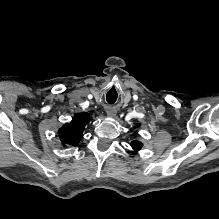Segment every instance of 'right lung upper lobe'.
<instances>
[{"mask_svg":"<svg viewBox=\"0 0 219 219\" xmlns=\"http://www.w3.org/2000/svg\"><path fill=\"white\" fill-rule=\"evenodd\" d=\"M89 119L88 113H78L70 123L64 124L58 131L61 143L65 147L78 144L83 137V131Z\"/></svg>","mask_w":219,"mask_h":219,"instance_id":"1","label":"right lung upper lobe"}]
</instances>
